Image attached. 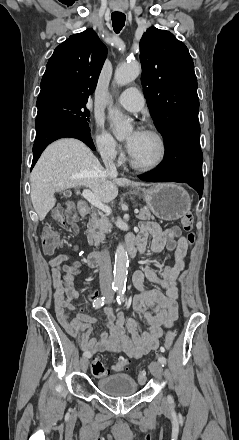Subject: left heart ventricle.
Returning <instances> with one entry per match:
<instances>
[{"label": "left heart ventricle", "mask_w": 239, "mask_h": 440, "mask_svg": "<svg viewBox=\"0 0 239 440\" xmlns=\"http://www.w3.org/2000/svg\"><path fill=\"white\" fill-rule=\"evenodd\" d=\"M160 153L159 145L156 139L144 132L139 139L132 155L143 165L153 164Z\"/></svg>", "instance_id": "left-heart-ventricle-1"}]
</instances>
